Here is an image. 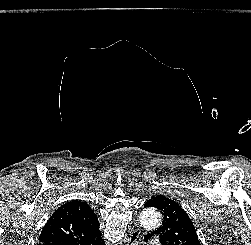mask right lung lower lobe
I'll use <instances>...</instances> for the list:
<instances>
[{
    "label": "right lung lower lobe",
    "instance_id": "1",
    "mask_svg": "<svg viewBox=\"0 0 251 245\" xmlns=\"http://www.w3.org/2000/svg\"><path fill=\"white\" fill-rule=\"evenodd\" d=\"M77 245H105V243H104V241L101 237V234H100V236H98L97 238H95L92 241L83 242V243H80Z\"/></svg>",
    "mask_w": 251,
    "mask_h": 245
}]
</instances>
